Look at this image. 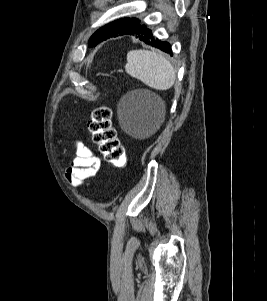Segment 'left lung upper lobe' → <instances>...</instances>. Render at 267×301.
Instances as JSON below:
<instances>
[{
  "instance_id": "5c2ea615",
  "label": "left lung upper lobe",
  "mask_w": 267,
  "mask_h": 301,
  "mask_svg": "<svg viewBox=\"0 0 267 301\" xmlns=\"http://www.w3.org/2000/svg\"><path fill=\"white\" fill-rule=\"evenodd\" d=\"M140 22L136 18H123L111 22L100 29H98L89 39V47L96 46L100 42L106 40L112 35L124 34L136 26Z\"/></svg>"
}]
</instances>
